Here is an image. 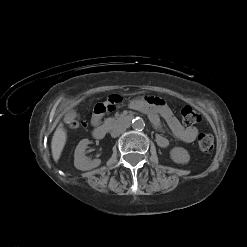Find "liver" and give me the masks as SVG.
I'll return each instance as SVG.
<instances>
[{"mask_svg":"<svg viewBox=\"0 0 247 247\" xmlns=\"http://www.w3.org/2000/svg\"><path fill=\"white\" fill-rule=\"evenodd\" d=\"M66 139V131L63 128V124L60 123L56 128L51 141L52 156L55 162H57L61 156V153L66 143Z\"/></svg>","mask_w":247,"mask_h":247,"instance_id":"1","label":"liver"}]
</instances>
